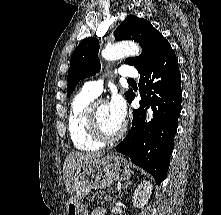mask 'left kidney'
<instances>
[{
    "label": "left kidney",
    "mask_w": 221,
    "mask_h": 215,
    "mask_svg": "<svg viewBox=\"0 0 221 215\" xmlns=\"http://www.w3.org/2000/svg\"><path fill=\"white\" fill-rule=\"evenodd\" d=\"M152 194V184L149 180H144L141 182L136 188L132 202L133 205L137 208H144V206L148 203L150 196Z\"/></svg>",
    "instance_id": "left-kidney-1"
}]
</instances>
